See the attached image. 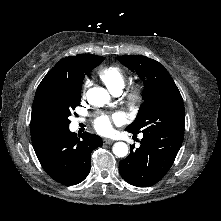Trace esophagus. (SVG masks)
Instances as JSON below:
<instances>
[{"label": "esophagus", "instance_id": "obj_1", "mask_svg": "<svg viewBox=\"0 0 221 221\" xmlns=\"http://www.w3.org/2000/svg\"><path fill=\"white\" fill-rule=\"evenodd\" d=\"M103 142H104L105 144H112L114 141L111 140V139L105 138V139H103Z\"/></svg>", "mask_w": 221, "mask_h": 221}]
</instances>
